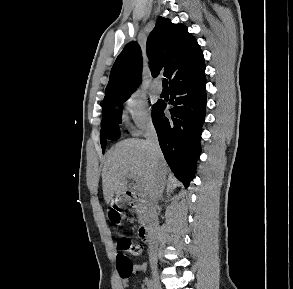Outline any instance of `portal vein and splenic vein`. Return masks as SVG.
<instances>
[{
    "instance_id": "1",
    "label": "portal vein and splenic vein",
    "mask_w": 293,
    "mask_h": 289,
    "mask_svg": "<svg viewBox=\"0 0 293 289\" xmlns=\"http://www.w3.org/2000/svg\"><path fill=\"white\" fill-rule=\"evenodd\" d=\"M132 179L135 180V181L137 182L136 187H137L139 190H143V188H142V186H141V184H140V182H139V179L136 178V177H132Z\"/></svg>"
}]
</instances>
